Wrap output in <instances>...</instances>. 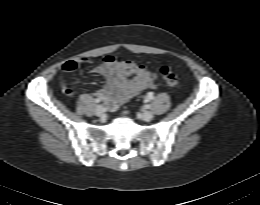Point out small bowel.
Segmentation results:
<instances>
[{
    "instance_id": "c3829d8e",
    "label": "small bowel",
    "mask_w": 260,
    "mask_h": 205,
    "mask_svg": "<svg viewBox=\"0 0 260 205\" xmlns=\"http://www.w3.org/2000/svg\"><path fill=\"white\" fill-rule=\"evenodd\" d=\"M81 64H90L92 72L106 77V85L95 96L102 99L109 110H116L145 89L156 86V75L145 65L135 61H121L113 56H106L99 64H94L89 58H78L69 60L62 66L60 85L68 96L73 95V90L66 75L74 72Z\"/></svg>"
}]
</instances>
